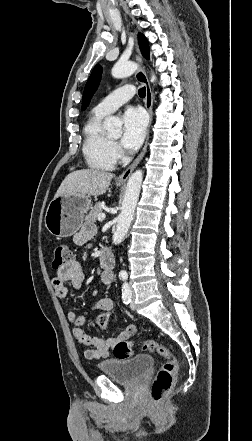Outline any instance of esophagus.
I'll return each mask as SVG.
<instances>
[{
  "instance_id": "obj_1",
  "label": "esophagus",
  "mask_w": 252,
  "mask_h": 441,
  "mask_svg": "<svg viewBox=\"0 0 252 441\" xmlns=\"http://www.w3.org/2000/svg\"><path fill=\"white\" fill-rule=\"evenodd\" d=\"M136 59H137L140 67H139L138 71L136 72L135 77L140 83H142L145 86V89H146L145 107L150 115V119L152 120L153 95H152L151 87L149 84L148 77H147L144 69L142 68L141 56L139 54H137ZM148 141H149V130H148L147 139H146V142H145V145H144L142 151L137 156V158L133 161V163L117 178V182H126V180L129 178L131 173L134 171V169L137 167V165L140 163V161L144 157L146 150H147Z\"/></svg>"
}]
</instances>
